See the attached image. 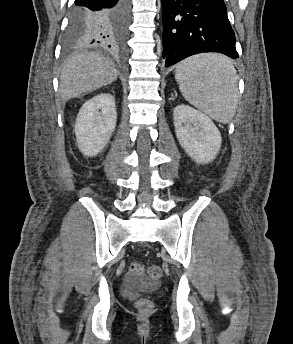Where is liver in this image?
<instances>
[{"label": "liver", "instance_id": "1", "mask_svg": "<svg viewBox=\"0 0 293 344\" xmlns=\"http://www.w3.org/2000/svg\"><path fill=\"white\" fill-rule=\"evenodd\" d=\"M118 70L114 63L99 53H80L71 56L64 64L59 91L68 101L114 82Z\"/></svg>", "mask_w": 293, "mask_h": 344}]
</instances>
